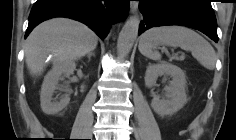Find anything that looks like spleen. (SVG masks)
<instances>
[{
	"mask_svg": "<svg viewBox=\"0 0 236 140\" xmlns=\"http://www.w3.org/2000/svg\"><path fill=\"white\" fill-rule=\"evenodd\" d=\"M159 44L191 51L202 66L209 70L215 67L216 54L213 47L192 29L183 26L152 28L142 35L139 51L149 59L161 60V54L154 50V47Z\"/></svg>",
	"mask_w": 236,
	"mask_h": 140,
	"instance_id": "spleen-1",
	"label": "spleen"
}]
</instances>
